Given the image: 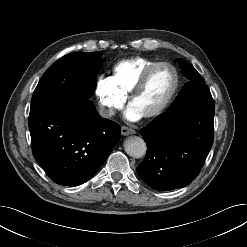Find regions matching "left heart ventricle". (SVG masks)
Segmentation results:
<instances>
[{"label":"left heart ventricle","mask_w":247,"mask_h":247,"mask_svg":"<svg viewBox=\"0 0 247 247\" xmlns=\"http://www.w3.org/2000/svg\"><path fill=\"white\" fill-rule=\"evenodd\" d=\"M174 83V73L162 65L153 70L142 91L133 99L131 107L145 116L159 107L168 96Z\"/></svg>","instance_id":"obj_1"}]
</instances>
